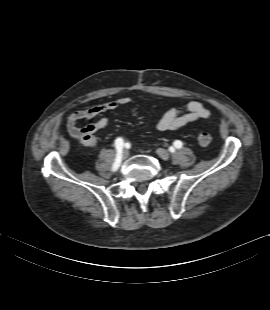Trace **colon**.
<instances>
[{
    "label": "colon",
    "instance_id": "obj_1",
    "mask_svg": "<svg viewBox=\"0 0 270 310\" xmlns=\"http://www.w3.org/2000/svg\"><path fill=\"white\" fill-rule=\"evenodd\" d=\"M197 141L200 146L206 147L212 142V137L208 132L200 131L197 134Z\"/></svg>",
    "mask_w": 270,
    "mask_h": 310
}]
</instances>
